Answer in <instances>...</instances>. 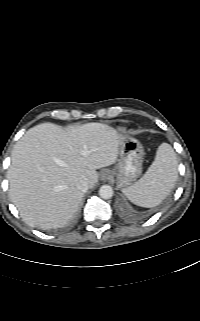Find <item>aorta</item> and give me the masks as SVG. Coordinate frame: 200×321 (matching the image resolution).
<instances>
[{
	"label": "aorta",
	"instance_id": "1",
	"mask_svg": "<svg viewBox=\"0 0 200 321\" xmlns=\"http://www.w3.org/2000/svg\"><path fill=\"white\" fill-rule=\"evenodd\" d=\"M113 193V189L109 185H102L99 189V195L102 199H110Z\"/></svg>",
	"mask_w": 200,
	"mask_h": 321
}]
</instances>
